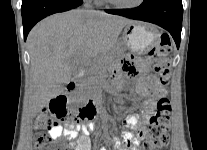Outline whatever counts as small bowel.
<instances>
[{
    "label": "small bowel",
    "instance_id": "obj_1",
    "mask_svg": "<svg viewBox=\"0 0 207 150\" xmlns=\"http://www.w3.org/2000/svg\"><path fill=\"white\" fill-rule=\"evenodd\" d=\"M148 68L149 62L142 61L139 63L138 67L129 66L125 69V71L129 76L135 77L139 71L146 72ZM122 85L123 79L118 75L114 81V90L120 89ZM136 91L141 96L152 95L154 98H161L165 94L163 85L152 76L140 79L136 85ZM147 115L148 112L145 113V116ZM124 125L126 128L137 131L139 136L145 132V125L141 121V117L138 114L128 115L125 118ZM94 127V123L83 125L76 121H71L66 126H58L57 128L51 130L49 135L54 139H58L60 137L67 138L70 141L69 148L71 150H90L89 134ZM111 141L114 147L119 145V140L115 136L111 137ZM123 141L126 144L128 143L129 146H132L134 148L133 150H137L136 146L139 141L138 138L132 133H125L123 135ZM101 149L106 150V146L102 145Z\"/></svg>",
    "mask_w": 207,
    "mask_h": 150
}]
</instances>
